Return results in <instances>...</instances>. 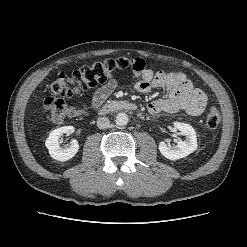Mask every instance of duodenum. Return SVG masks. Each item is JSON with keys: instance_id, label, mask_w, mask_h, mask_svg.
<instances>
[{"instance_id": "obj_1", "label": "duodenum", "mask_w": 247, "mask_h": 247, "mask_svg": "<svg viewBox=\"0 0 247 247\" xmlns=\"http://www.w3.org/2000/svg\"><path fill=\"white\" fill-rule=\"evenodd\" d=\"M137 105L131 101L116 100L108 102L99 108L100 114H108L116 111H135Z\"/></svg>"}]
</instances>
